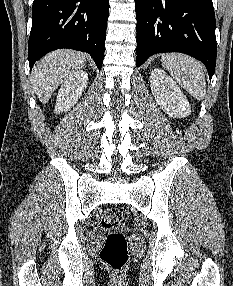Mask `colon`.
<instances>
[{"instance_id": "5ec220e1", "label": "colon", "mask_w": 233, "mask_h": 286, "mask_svg": "<svg viewBox=\"0 0 233 286\" xmlns=\"http://www.w3.org/2000/svg\"><path fill=\"white\" fill-rule=\"evenodd\" d=\"M126 222L125 215L118 209H107L101 218L103 227L113 230L100 250L101 260L113 272H120L128 261V248L125 236L117 231Z\"/></svg>"}]
</instances>
